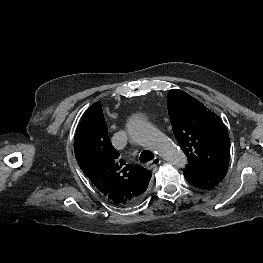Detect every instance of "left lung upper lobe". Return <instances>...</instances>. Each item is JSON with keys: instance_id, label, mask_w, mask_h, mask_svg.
<instances>
[{"instance_id": "1", "label": "left lung upper lobe", "mask_w": 263, "mask_h": 263, "mask_svg": "<svg viewBox=\"0 0 263 263\" xmlns=\"http://www.w3.org/2000/svg\"><path fill=\"white\" fill-rule=\"evenodd\" d=\"M167 102L175 138L188 158L186 168L228 169L230 142L221 119L182 90L169 91Z\"/></svg>"}]
</instances>
